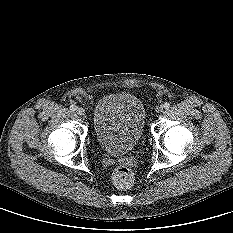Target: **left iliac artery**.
<instances>
[{
    "label": "left iliac artery",
    "mask_w": 233,
    "mask_h": 233,
    "mask_svg": "<svg viewBox=\"0 0 233 233\" xmlns=\"http://www.w3.org/2000/svg\"><path fill=\"white\" fill-rule=\"evenodd\" d=\"M164 108L169 109L170 108V103H168V102L164 103Z\"/></svg>",
    "instance_id": "obj_1"
}]
</instances>
